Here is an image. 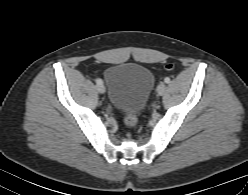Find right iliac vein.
<instances>
[{"instance_id":"1","label":"right iliac vein","mask_w":248,"mask_h":195,"mask_svg":"<svg viewBox=\"0 0 248 195\" xmlns=\"http://www.w3.org/2000/svg\"><path fill=\"white\" fill-rule=\"evenodd\" d=\"M96 90L99 92V93H104L105 92V87L103 86V84H98L96 86Z\"/></svg>"}]
</instances>
